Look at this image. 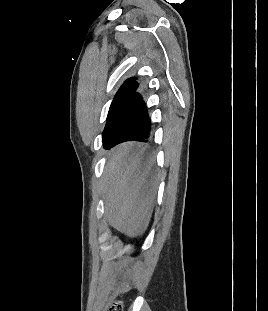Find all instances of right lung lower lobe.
<instances>
[{
	"instance_id": "right-lung-lower-lobe-1",
	"label": "right lung lower lobe",
	"mask_w": 268,
	"mask_h": 311,
	"mask_svg": "<svg viewBox=\"0 0 268 311\" xmlns=\"http://www.w3.org/2000/svg\"><path fill=\"white\" fill-rule=\"evenodd\" d=\"M137 87L119 119L102 138L104 148H110L125 141L148 142L152 123L148 108L141 94L137 92Z\"/></svg>"
}]
</instances>
